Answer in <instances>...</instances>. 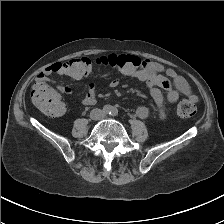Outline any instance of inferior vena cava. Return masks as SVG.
<instances>
[{"label":"inferior vena cava","instance_id":"602c4592","mask_svg":"<svg viewBox=\"0 0 224 224\" xmlns=\"http://www.w3.org/2000/svg\"><path fill=\"white\" fill-rule=\"evenodd\" d=\"M105 116V113L103 112V110L99 109V108H95L93 110H91L90 112V117L92 119H101Z\"/></svg>","mask_w":224,"mask_h":224}]
</instances>
